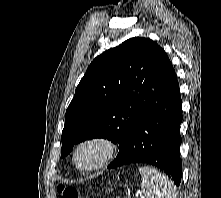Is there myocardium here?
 Here are the masks:
<instances>
[{"mask_svg": "<svg viewBox=\"0 0 221 198\" xmlns=\"http://www.w3.org/2000/svg\"><path fill=\"white\" fill-rule=\"evenodd\" d=\"M85 147H97L100 155L97 161L91 165L83 166L78 162V154ZM116 142L105 135H93L80 140L72 152V161L75 167L82 172H94L105 167L115 156Z\"/></svg>", "mask_w": 221, "mask_h": 198, "instance_id": "f54148a6", "label": "myocardium"}]
</instances>
